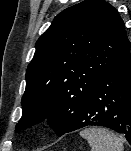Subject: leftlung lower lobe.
Instances as JSON below:
<instances>
[{
  "label": "left lung lower lobe",
  "mask_w": 131,
  "mask_h": 151,
  "mask_svg": "<svg viewBox=\"0 0 131 151\" xmlns=\"http://www.w3.org/2000/svg\"><path fill=\"white\" fill-rule=\"evenodd\" d=\"M88 126L124 134L131 144L130 51L102 72L66 133Z\"/></svg>",
  "instance_id": "obj_1"
}]
</instances>
